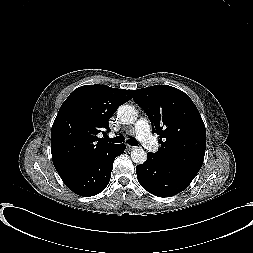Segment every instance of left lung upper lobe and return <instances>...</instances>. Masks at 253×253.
I'll use <instances>...</instances> for the list:
<instances>
[{
  "label": "left lung upper lobe",
  "mask_w": 253,
  "mask_h": 253,
  "mask_svg": "<svg viewBox=\"0 0 253 253\" xmlns=\"http://www.w3.org/2000/svg\"><path fill=\"white\" fill-rule=\"evenodd\" d=\"M130 93L149 117L152 132L160 136L161 148L155 156L196 176L204 160L206 129L190 97L167 85L130 90Z\"/></svg>",
  "instance_id": "1"
}]
</instances>
